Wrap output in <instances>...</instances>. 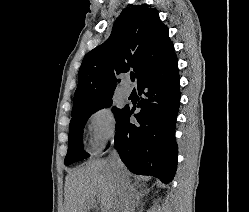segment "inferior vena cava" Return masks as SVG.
Wrapping results in <instances>:
<instances>
[{"instance_id": "inferior-vena-cava-1", "label": "inferior vena cava", "mask_w": 249, "mask_h": 212, "mask_svg": "<svg viewBox=\"0 0 249 212\" xmlns=\"http://www.w3.org/2000/svg\"><path fill=\"white\" fill-rule=\"evenodd\" d=\"M108 162L116 170L115 182L118 194L119 212H134L132 200L133 194L131 192L132 186H130L127 170L123 162H121L120 156L115 148H111Z\"/></svg>"}]
</instances>
